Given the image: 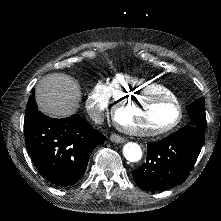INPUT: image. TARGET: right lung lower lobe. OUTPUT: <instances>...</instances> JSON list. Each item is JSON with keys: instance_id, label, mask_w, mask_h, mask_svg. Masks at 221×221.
Returning <instances> with one entry per match:
<instances>
[{"instance_id": "98d812e1", "label": "right lung lower lobe", "mask_w": 221, "mask_h": 221, "mask_svg": "<svg viewBox=\"0 0 221 221\" xmlns=\"http://www.w3.org/2000/svg\"><path fill=\"white\" fill-rule=\"evenodd\" d=\"M104 135L78 115L54 119L37 107L25 113V144L39 173L54 185L66 187L84 174L90 154Z\"/></svg>"}]
</instances>
